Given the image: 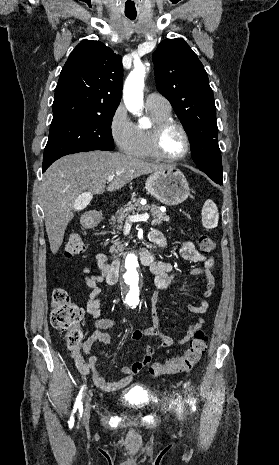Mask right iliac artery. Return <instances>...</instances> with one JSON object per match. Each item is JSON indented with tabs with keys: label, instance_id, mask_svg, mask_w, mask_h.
Masks as SVG:
<instances>
[{
	"label": "right iliac artery",
	"instance_id": "82829eb1",
	"mask_svg": "<svg viewBox=\"0 0 279 465\" xmlns=\"http://www.w3.org/2000/svg\"><path fill=\"white\" fill-rule=\"evenodd\" d=\"M83 389H84V387L81 388V390H80V392H79V394H78V396L76 398V402H75V405H74V408H73V413H75L76 410L79 408L80 416H82V412H83L82 402H81Z\"/></svg>",
	"mask_w": 279,
	"mask_h": 465
}]
</instances>
